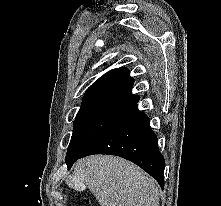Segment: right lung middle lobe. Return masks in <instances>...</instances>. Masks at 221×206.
I'll return each instance as SVG.
<instances>
[{
  "instance_id": "right-lung-middle-lobe-1",
  "label": "right lung middle lobe",
  "mask_w": 221,
  "mask_h": 206,
  "mask_svg": "<svg viewBox=\"0 0 221 206\" xmlns=\"http://www.w3.org/2000/svg\"><path fill=\"white\" fill-rule=\"evenodd\" d=\"M123 107L93 106L81 108L74 121L66 163L76 159L86 147L126 111Z\"/></svg>"
}]
</instances>
